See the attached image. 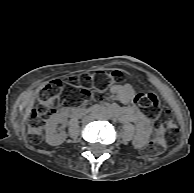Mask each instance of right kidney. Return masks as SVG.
<instances>
[{"mask_svg": "<svg viewBox=\"0 0 194 193\" xmlns=\"http://www.w3.org/2000/svg\"><path fill=\"white\" fill-rule=\"evenodd\" d=\"M62 123L58 115H52L47 120L45 125V140L49 145L57 146L62 144L66 139V133L61 131L57 132V126Z\"/></svg>", "mask_w": 194, "mask_h": 193, "instance_id": "1", "label": "right kidney"}]
</instances>
